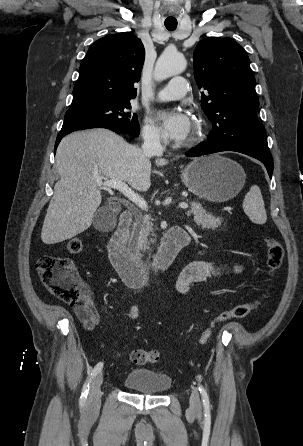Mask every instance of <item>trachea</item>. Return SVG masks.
<instances>
[{
  "instance_id": "3493384b",
  "label": "trachea",
  "mask_w": 303,
  "mask_h": 446,
  "mask_svg": "<svg viewBox=\"0 0 303 446\" xmlns=\"http://www.w3.org/2000/svg\"><path fill=\"white\" fill-rule=\"evenodd\" d=\"M165 27L169 31H174L177 28V22L176 21H165Z\"/></svg>"
}]
</instances>
